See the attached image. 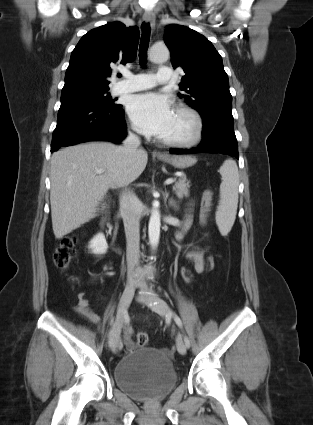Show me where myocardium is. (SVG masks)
I'll list each match as a JSON object with an SVG mask.
<instances>
[{
	"label": "myocardium",
	"instance_id": "myocardium-1",
	"mask_svg": "<svg viewBox=\"0 0 313 425\" xmlns=\"http://www.w3.org/2000/svg\"><path fill=\"white\" fill-rule=\"evenodd\" d=\"M175 112L184 114L190 118L193 123L192 134L185 139H161L164 145L171 147H191L200 142L204 131V122L198 111L186 105H180L175 109Z\"/></svg>",
	"mask_w": 313,
	"mask_h": 425
}]
</instances>
